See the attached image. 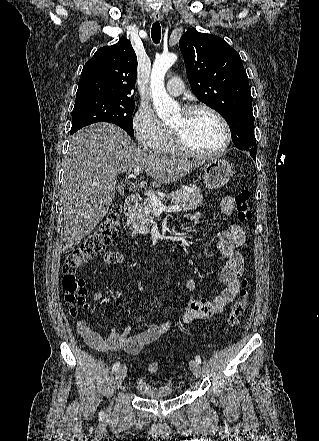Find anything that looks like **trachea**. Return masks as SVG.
Here are the masks:
<instances>
[{
  "instance_id": "1",
  "label": "trachea",
  "mask_w": 319,
  "mask_h": 441,
  "mask_svg": "<svg viewBox=\"0 0 319 441\" xmlns=\"http://www.w3.org/2000/svg\"><path fill=\"white\" fill-rule=\"evenodd\" d=\"M151 38L155 44H158L161 40V26L158 21L153 23L151 28Z\"/></svg>"
}]
</instances>
